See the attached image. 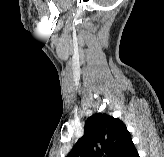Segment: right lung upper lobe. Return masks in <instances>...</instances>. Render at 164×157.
<instances>
[{"label":"right lung upper lobe","instance_id":"right-lung-upper-lobe-1","mask_svg":"<svg viewBox=\"0 0 164 157\" xmlns=\"http://www.w3.org/2000/svg\"><path fill=\"white\" fill-rule=\"evenodd\" d=\"M130 140L120 119L105 113L94 114L85 122L84 136L66 157H118Z\"/></svg>","mask_w":164,"mask_h":157}]
</instances>
